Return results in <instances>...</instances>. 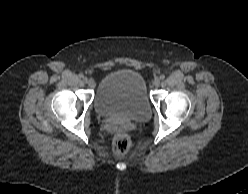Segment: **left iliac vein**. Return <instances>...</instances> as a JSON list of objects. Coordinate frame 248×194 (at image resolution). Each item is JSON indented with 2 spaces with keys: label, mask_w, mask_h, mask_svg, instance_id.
Listing matches in <instances>:
<instances>
[{
  "label": "left iliac vein",
  "mask_w": 248,
  "mask_h": 194,
  "mask_svg": "<svg viewBox=\"0 0 248 194\" xmlns=\"http://www.w3.org/2000/svg\"><path fill=\"white\" fill-rule=\"evenodd\" d=\"M153 83H154V86L158 87L160 85V79L155 78Z\"/></svg>",
  "instance_id": "obj_1"
}]
</instances>
